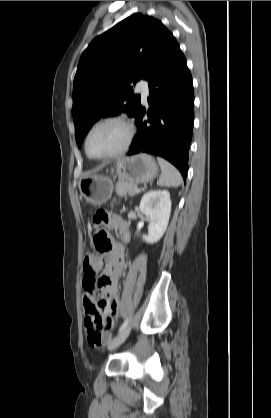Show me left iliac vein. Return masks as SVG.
Here are the masks:
<instances>
[{"instance_id": "1", "label": "left iliac vein", "mask_w": 271, "mask_h": 418, "mask_svg": "<svg viewBox=\"0 0 271 418\" xmlns=\"http://www.w3.org/2000/svg\"><path fill=\"white\" fill-rule=\"evenodd\" d=\"M130 333V327L125 328L121 333H119L108 345V349L112 350L122 344Z\"/></svg>"}]
</instances>
